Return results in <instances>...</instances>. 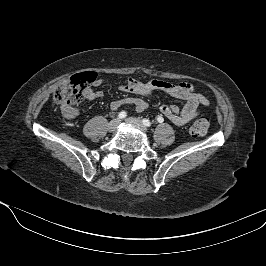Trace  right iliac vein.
<instances>
[{
	"label": "right iliac vein",
	"instance_id": "1",
	"mask_svg": "<svg viewBox=\"0 0 266 266\" xmlns=\"http://www.w3.org/2000/svg\"><path fill=\"white\" fill-rule=\"evenodd\" d=\"M119 124H120V120L118 118L117 119H113L108 124V131H110V132L115 131L118 128Z\"/></svg>",
	"mask_w": 266,
	"mask_h": 266
}]
</instances>
